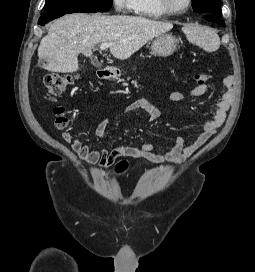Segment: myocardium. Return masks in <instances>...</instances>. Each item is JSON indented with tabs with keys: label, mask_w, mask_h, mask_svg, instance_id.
Here are the masks:
<instances>
[{
	"label": "myocardium",
	"mask_w": 255,
	"mask_h": 272,
	"mask_svg": "<svg viewBox=\"0 0 255 272\" xmlns=\"http://www.w3.org/2000/svg\"><path fill=\"white\" fill-rule=\"evenodd\" d=\"M159 5L161 9L167 14V15H173V16H178L186 13L192 6V0H187V4L183 9H174L170 5L169 0H158Z\"/></svg>",
	"instance_id": "f54148a6"
}]
</instances>
